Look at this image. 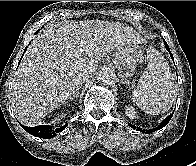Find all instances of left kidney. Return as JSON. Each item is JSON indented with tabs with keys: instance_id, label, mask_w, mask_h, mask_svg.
<instances>
[{
	"instance_id": "1",
	"label": "left kidney",
	"mask_w": 196,
	"mask_h": 166,
	"mask_svg": "<svg viewBox=\"0 0 196 166\" xmlns=\"http://www.w3.org/2000/svg\"><path fill=\"white\" fill-rule=\"evenodd\" d=\"M125 114L130 118V119H134L137 118V113L135 111V109L132 106L127 105L125 107Z\"/></svg>"
}]
</instances>
